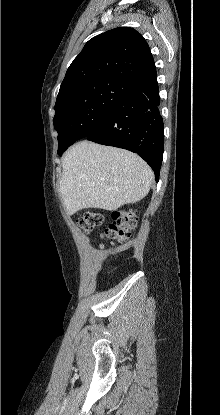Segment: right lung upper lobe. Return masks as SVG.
<instances>
[{"label": "right lung upper lobe", "mask_w": 220, "mask_h": 415, "mask_svg": "<svg viewBox=\"0 0 220 415\" xmlns=\"http://www.w3.org/2000/svg\"><path fill=\"white\" fill-rule=\"evenodd\" d=\"M155 76L154 60L145 39L133 28L119 27L86 43L69 66L60 91L101 78H118L138 86Z\"/></svg>", "instance_id": "obj_1"}]
</instances>
